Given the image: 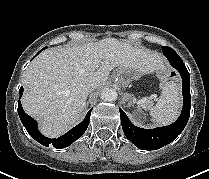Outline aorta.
Returning a JSON list of instances; mask_svg holds the SVG:
<instances>
[{
	"instance_id": "1",
	"label": "aorta",
	"mask_w": 209,
	"mask_h": 179,
	"mask_svg": "<svg viewBox=\"0 0 209 179\" xmlns=\"http://www.w3.org/2000/svg\"><path fill=\"white\" fill-rule=\"evenodd\" d=\"M101 99L106 102H113L117 99V92L113 88H106L101 93Z\"/></svg>"
}]
</instances>
